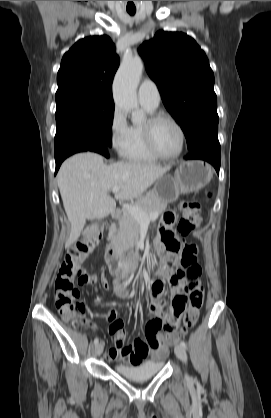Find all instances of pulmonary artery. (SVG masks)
<instances>
[{
    "label": "pulmonary artery",
    "instance_id": "pulmonary-artery-1",
    "mask_svg": "<svg viewBox=\"0 0 271 418\" xmlns=\"http://www.w3.org/2000/svg\"><path fill=\"white\" fill-rule=\"evenodd\" d=\"M138 99L141 105L156 109L160 103V93L156 84L151 80H145L138 89Z\"/></svg>",
    "mask_w": 271,
    "mask_h": 418
}]
</instances>
